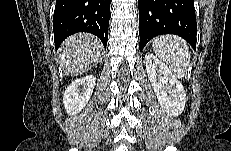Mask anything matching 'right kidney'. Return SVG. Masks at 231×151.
Wrapping results in <instances>:
<instances>
[{
  "label": "right kidney",
  "instance_id": "1",
  "mask_svg": "<svg viewBox=\"0 0 231 151\" xmlns=\"http://www.w3.org/2000/svg\"><path fill=\"white\" fill-rule=\"evenodd\" d=\"M96 78L92 75H87L73 81L65 90L63 96V104L69 115H76L89 101Z\"/></svg>",
  "mask_w": 231,
  "mask_h": 151
}]
</instances>
